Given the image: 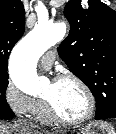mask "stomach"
Wrapping results in <instances>:
<instances>
[{
  "mask_svg": "<svg viewBox=\"0 0 116 134\" xmlns=\"http://www.w3.org/2000/svg\"><path fill=\"white\" fill-rule=\"evenodd\" d=\"M80 134H116V132L107 122L93 121L84 127Z\"/></svg>",
  "mask_w": 116,
  "mask_h": 134,
  "instance_id": "1",
  "label": "stomach"
}]
</instances>
